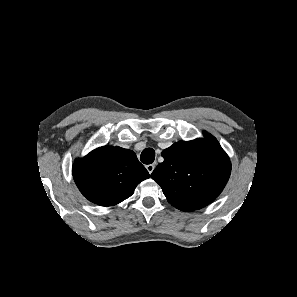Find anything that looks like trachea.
Segmentation results:
<instances>
[{"instance_id": "3493384b", "label": "trachea", "mask_w": 297, "mask_h": 297, "mask_svg": "<svg viewBox=\"0 0 297 297\" xmlns=\"http://www.w3.org/2000/svg\"><path fill=\"white\" fill-rule=\"evenodd\" d=\"M155 159V151L152 148H146L140 155V160L144 164H151Z\"/></svg>"}]
</instances>
